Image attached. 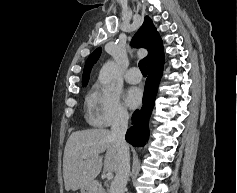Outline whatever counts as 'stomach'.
Returning a JSON list of instances; mask_svg holds the SVG:
<instances>
[{
	"label": "stomach",
	"mask_w": 237,
	"mask_h": 193,
	"mask_svg": "<svg viewBox=\"0 0 237 193\" xmlns=\"http://www.w3.org/2000/svg\"><path fill=\"white\" fill-rule=\"evenodd\" d=\"M81 193H97L96 186L94 183H90L81 188Z\"/></svg>",
	"instance_id": "0dacf381"
}]
</instances>
